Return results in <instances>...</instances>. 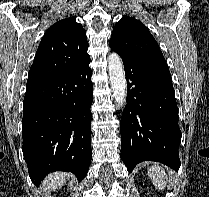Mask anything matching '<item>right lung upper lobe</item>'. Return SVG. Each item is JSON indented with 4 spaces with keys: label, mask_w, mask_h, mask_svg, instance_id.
Here are the masks:
<instances>
[{
    "label": "right lung upper lobe",
    "mask_w": 209,
    "mask_h": 197,
    "mask_svg": "<svg viewBox=\"0 0 209 197\" xmlns=\"http://www.w3.org/2000/svg\"><path fill=\"white\" fill-rule=\"evenodd\" d=\"M86 32L74 17L53 24L44 34L30 68L26 88L73 69L89 57Z\"/></svg>",
    "instance_id": "1"
}]
</instances>
